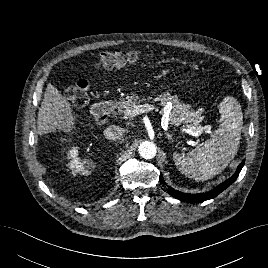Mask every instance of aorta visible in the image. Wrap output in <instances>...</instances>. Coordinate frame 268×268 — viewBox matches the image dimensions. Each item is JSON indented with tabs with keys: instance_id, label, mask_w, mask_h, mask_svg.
Returning a JSON list of instances; mask_svg holds the SVG:
<instances>
[{
	"instance_id": "762f6f07",
	"label": "aorta",
	"mask_w": 268,
	"mask_h": 268,
	"mask_svg": "<svg viewBox=\"0 0 268 268\" xmlns=\"http://www.w3.org/2000/svg\"><path fill=\"white\" fill-rule=\"evenodd\" d=\"M140 156L144 159H152L155 157L157 150L156 145L150 141H143L138 148Z\"/></svg>"
}]
</instances>
